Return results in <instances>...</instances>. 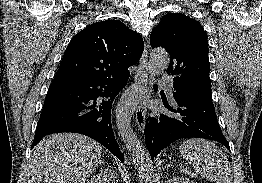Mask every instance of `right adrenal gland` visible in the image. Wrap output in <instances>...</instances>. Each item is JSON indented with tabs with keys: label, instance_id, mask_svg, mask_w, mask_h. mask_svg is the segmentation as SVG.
<instances>
[{
	"label": "right adrenal gland",
	"instance_id": "2a0ac1e0",
	"mask_svg": "<svg viewBox=\"0 0 262 183\" xmlns=\"http://www.w3.org/2000/svg\"><path fill=\"white\" fill-rule=\"evenodd\" d=\"M101 163H104V164H105V162H103V161L100 160V164H101Z\"/></svg>",
	"mask_w": 262,
	"mask_h": 183
}]
</instances>
